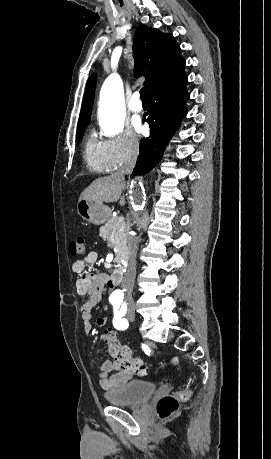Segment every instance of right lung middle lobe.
I'll list each match as a JSON object with an SVG mask.
<instances>
[{"mask_svg": "<svg viewBox=\"0 0 271 459\" xmlns=\"http://www.w3.org/2000/svg\"><path fill=\"white\" fill-rule=\"evenodd\" d=\"M88 123H89V120H83V121L78 122L77 135H76L77 140H81L83 132L85 128L87 127Z\"/></svg>", "mask_w": 271, "mask_h": 459, "instance_id": "dd1d6c3e", "label": "right lung middle lobe"}]
</instances>
